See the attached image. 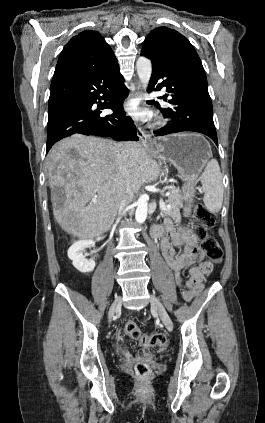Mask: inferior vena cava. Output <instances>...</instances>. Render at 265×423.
<instances>
[{
    "label": "inferior vena cava",
    "mask_w": 265,
    "mask_h": 423,
    "mask_svg": "<svg viewBox=\"0 0 265 423\" xmlns=\"http://www.w3.org/2000/svg\"><path fill=\"white\" fill-rule=\"evenodd\" d=\"M116 150L118 153L119 169H120L121 177L123 179V181L118 187V192H117L118 209L121 213L124 210V208L127 207L132 202L133 190L127 176V166L122 156L124 152V145L119 143L116 147Z\"/></svg>",
    "instance_id": "1"
}]
</instances>
